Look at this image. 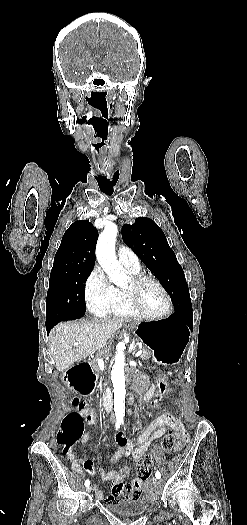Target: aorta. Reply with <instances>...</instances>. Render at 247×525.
<instances>
[{
  "instance_id": "obj_1",
  "label": "aorta",
  "mask_w": 247,
  "mask_h": 525,
  "mask_svg": "<svg viewBox=\"0 0 247 525\" xmlns=\"http://www.w3.org/2000/svg\"><path fill=\"white\" fill-rule=\"evenodd\" d=\"M117 226L113 223L106 225L100 234L96 245V256L100 266L103 268L108 278L118 287L128 284L129 278L126 271L119 265L115 254V241L117 236ZM125 344L120 342L114 358V365L111 371V379L114 388V411L116 420L123 421L125 415Z\"/></svg>"
}]
</instances>
